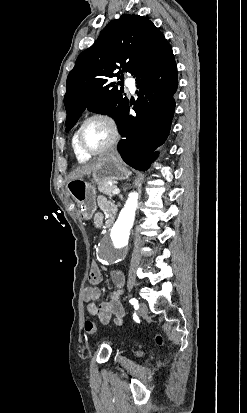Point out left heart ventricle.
Wrapping results in <instances>:
<instances>
[{"mask_svg": "<svg viewBox=\"0 0 247 413\" xmlns=\"http://www.w3.org/2000/svg\"><path fill=\"white\" fill-rule=\"evenodd\" d=\"M111 137V126L105 122L95 121L84 128L81 134V141L87 149L97 150L105 146Z\"/></svg>", "mask_w": 247, "mask_h": 413, "instance_id": "b2bd125f", "label": "left heart ventricle"}]
</instances>
